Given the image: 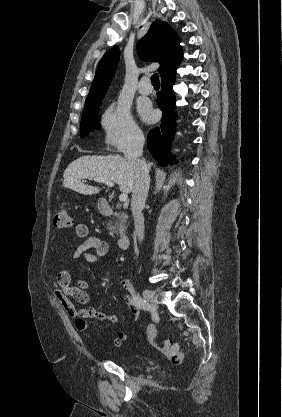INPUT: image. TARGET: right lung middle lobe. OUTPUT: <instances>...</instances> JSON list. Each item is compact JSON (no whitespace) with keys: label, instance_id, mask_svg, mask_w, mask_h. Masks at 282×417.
Here are the masks:
<instances>
[{"label":"right lung middle lobe","instance_id":"1","mask_svg":"<svg viewBox=\"0 0 282 417\" xmlns=\"http://www.w3.org/2000/svg\"><path fill=\"white\" fill-rule=\"evenodd\" d=\"M104 95L100 94L87 97L80 125V134L82 137L100 128V116L98 112Z\"/></svg>","mask_w":282,"mask_h":417}]
</instances>
